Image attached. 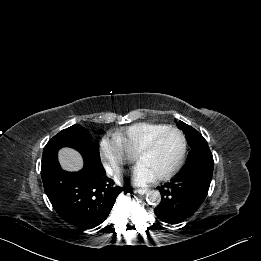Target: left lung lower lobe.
<instances>
[{
	"label": "left lung lower lobe",
	"instance_id": "obj_1",
	"mask_svg": "<svg viewBox=\"0 0 261 261\" xmlns=\"http://www.w3.org/2000/svg\"><path fill=\"white\" fill-rule=\"evenodd\" d=\"M214 161L208 145L186 160L182 171L170 183L158 187L162 201L154 209L163 222L176 224L192 216L207 196Z\"/></svg>",
	"mask_w": 261,
	"mask_h": 261
}]
</instances>
